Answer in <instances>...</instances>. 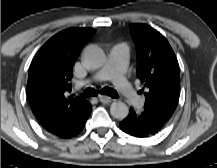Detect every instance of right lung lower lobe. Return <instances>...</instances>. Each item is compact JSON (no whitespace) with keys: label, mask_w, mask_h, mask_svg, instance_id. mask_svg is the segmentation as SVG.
Returning a JSON list of instances; mask_svg holds the SVG:
<instances>
[{"label":"right lung lower lobe","mask_w":217,"mask_h":168,"mask_svg":"<svg viewBox=\"0 0 217 168\" xmlns=\"http://www.w3.org/2000/svg\"><path fill=\"white\" fill-rule=\"evenodd\" d=\"M91 110H92V107L83 117H81L78 121H76L71 127L65 130H62L58 133H55L53 135H55L58 138H62V139H69V138L76 136L83 130L84 125L91 113Z\"/></svg>","instance_id":"right-lung-lower-lobe-1"}]
</instances>
